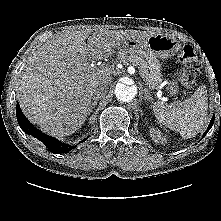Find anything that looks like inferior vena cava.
I'll use <instances>...</instances> for the list:
<instances>
[{
  "label": "inferior vena cava",
  "instance_id": "602c4592",
  "mask_svg": "<svg viewBox=\"0 0 221 221\" xmlns=\"http://www.w3.org/2000/svg\"><path fill=\"white\" fill-rule=\"evenodd\" d=\"M107 92V89L104 86H98L97 88L94 89L93 92V98L98 99L100 97H103Z\"/></svg>",
  "mask_w": 221,
  "mask_h": 221
}]
</instances>
